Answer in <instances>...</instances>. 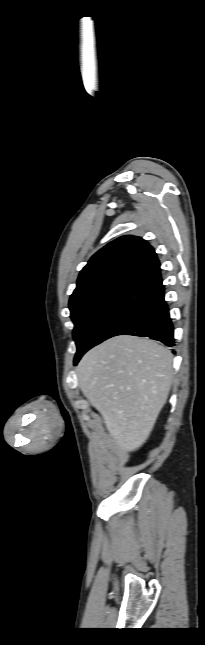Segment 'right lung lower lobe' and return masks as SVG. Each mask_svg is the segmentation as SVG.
<instances>
[{"instance_id":"obj_1","label":"right lung lower lobe","mask_w":205,"mask_h":645,"mask_svg":"<svg viewBox=\"0 0 205 645\" xmlns=\"http://www.w3.org/2000/svg\"><path fill=\"white\" fill-rule=\"evenodd\" d=\"M117 335L149 337L174 346L173 325L164 300L162 281L149 290L145 302L110 331L104 340Z\"/></svg>"}]
</instances>
